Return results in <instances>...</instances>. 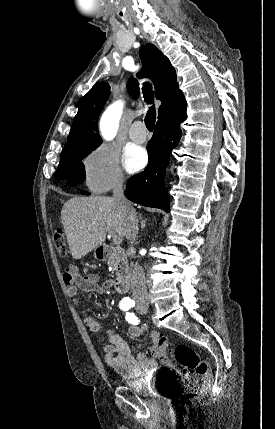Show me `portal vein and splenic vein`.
<instances>
[{"instance_id":"portal-vein-and-splenic-vein-1","label":"portal vein and splenic vein","mask_w":275,"mask_h":429,"mask_svg":"<svg viewBox=\"0 0 275 429\" xmlns=\"http://www.w3.org/2000/svg\"><path fill=\"white\" fill-rule=\"evenodd\" d=\"M106 230L110 231L109 228H106ZM121 241H122V239H121V237L119 235H117V234L113 235V242H114V244L118 245V244L121 243Z\"/></svg>"}]
</instances>
